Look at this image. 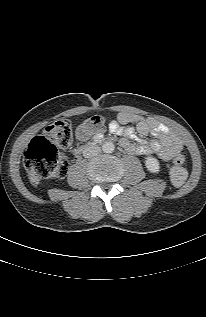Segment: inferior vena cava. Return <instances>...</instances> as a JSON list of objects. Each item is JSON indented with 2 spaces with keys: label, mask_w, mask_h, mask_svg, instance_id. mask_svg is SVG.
<instances>
[{
  "label": "inferior vena cava",
  "mask_w": 206,
  "mask_h": 317,
  "mask_svg": "<svg viewBox=\"0 0 206 317\" xmlns=\"http://www.w3.org/2000/svg\"><path fill=\"white\" fill-rule=\"evenodd\" d=\"M100 151H101L100 147L96 145H87L85 146L83 150V156L85 158H90V157L96 156L98 153H100Z\"/></svg>",
  "instance_id": "1"
}]
</instances>
